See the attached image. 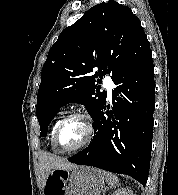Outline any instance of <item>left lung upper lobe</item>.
<instances>
[{"mask_svg": "<svg viewBox=\"0 0 178 195\" xmlns=\"http://www.w3.org/2000/svg\"><path fill=\"white\" fill-rule=\"evenodd\" d=\"M149 51L147 36L129 7L110 0L90 8L61 32L48 52L36 105L40 136H46L56 111L69 102L83 104L94 120L106 98L95 83L105 74L114 81ZM95 67L99 73L92 74Z\"/></svg>", "mask_w": 178, "mask_h": 195, "instance_id": "obj_1", "label": "left lung upper lobe"}]
</instances>
